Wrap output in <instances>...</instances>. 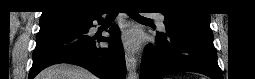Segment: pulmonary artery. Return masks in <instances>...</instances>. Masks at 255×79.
I'll return each mask as SVG.
<instances>
[{
  "label": "pulmonary artery",
  "mask_w": 255,
  "mask_h": 79,
  "mask_svg": "<svg viewBox=\"0 0 255 79\" xmlns=\"http://www.w3.org/2000/svg\"><path fill=\"white\" fill-rule=\"evenodd\" d=\"M158 20H159V22H160L161 27L164 28V23H163L164 17H163V16H159V17H158Z\"/></svg>",
  "instance_id": "e3ab8cb5"
}]
</instances>
